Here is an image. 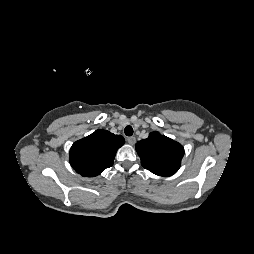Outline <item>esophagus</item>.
<instances>
[{
    "mask_svg": "<svg viewBox=\"0 0 254 254\" xmlns=\"http://www.w3.org/2000/svg\"><path fill=\"white\" fill-rule=\"evenodd\" d=\"M127 142L132 145L136 142V138L133 137V136L132 137H127Z\"/></svg>",
    "mask_w": 254,
    "mask_h": 254,
    "instance_id": "esophagus-1",
    "label": "esophagus"
}]
</instances>
